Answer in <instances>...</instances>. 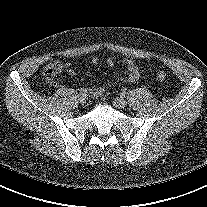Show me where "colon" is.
Returning a JSON list of instances; mask_svg holds the SVG:
<instances>
[{
    "mask_svg": "<svg viewBox=\"0 0 207 207\" xmlns=\"http://www.w3.org/2000/svg\"><path fill=\"white\" fill-rule=\"evenodd\" d=\"M59 73H60L59 65L56 63H52L45 69L44 76H45V79L49 83H52L54 80V77ZM166 77H167V74L163 70H158L155 72V78L158 81H164Z\"/></svg>",
    "mask_w": 207,
    "mask_h": 207,
    "instance_id": "obj_1",
    "label": "colon"
}]
</instances>
